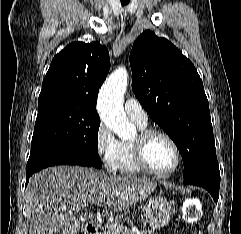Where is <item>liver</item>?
Returning <instances> with one entry per match:
<instances>
[{
	"instance_id": "liver-1",
	"label": "liver",
	"mask_w": 241,
	"mask_h": 234,
	"mask_svg": "<svg viewBox=\"0 0 241 234\" xmlns=\"http://www.w3.org/2000/svg\"><path fill=\"white\" fill-rule=\"evenodd\" d=\"M157 184L147 178L115 176L79 166H55L34 174L25 191L29 234H75L77 213L99 200L121 212L146 199Z\"/></svg>"
}]
</instances>
